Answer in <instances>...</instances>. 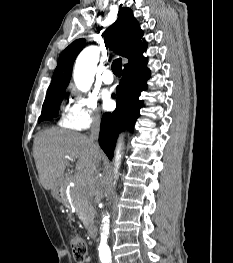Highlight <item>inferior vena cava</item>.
<instances>
[{"label": "inferior vena cava", "mask_w": 233, "mask_h": 263, "mask_svg": "<svg viewBox=\"0 0 233 263\" xmlns=\"http://www.w3.org/2000/svg\"><path fill=\"white\" fill-rule=\"evenodd\" d=\"M99 130H100V117L98 115H94L91 118L90 140L96 147H98L97 140L99 136Z\"/></svg>", "instance_id": "1"}]
</instances>
